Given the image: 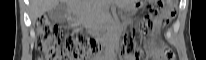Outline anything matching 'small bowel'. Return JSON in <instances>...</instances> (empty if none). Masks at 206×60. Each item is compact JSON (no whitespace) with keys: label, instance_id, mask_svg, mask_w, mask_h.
Segmentation results:
<instances>
[{"label":"small bowel","instance_id":"obj_1","mask_svg":"<svg viewBox=\"0 0 206 60\" xmlns=\"http://www.w3.org/2000/svg\"><path fill=\"white\" fill-rule=\"evenodd\" d=\"M161 25V21L156 22V26L159 27ZM154 56L159 60H168L160 50H154ZM125 60H138V58L134 56H127Z\"/></svg>","mask_w":206,"mask_h":60}]
</instances>
